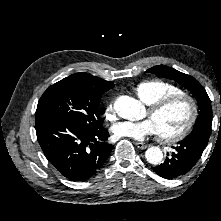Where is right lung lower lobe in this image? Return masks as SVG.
Instances as JSON below:
<instances>
[{
    "mask_svg": "<svg viewBox=\"0 0 221 221\" xmlns=\"http://www.w3.org/2000/svg\"><path fill=\"white\" fill-rule=\"evenodd\" d=\"M37 140L47 160L65 178L85 181L106 163L113 145L105 128L87 130L48 111H36Z\"/></svg>",
    "mask_w": 221,
    "mask_h": 221,
    "instance_id": "obj_1",
    "label": "right lung lower lobe"
}]
</instances>
